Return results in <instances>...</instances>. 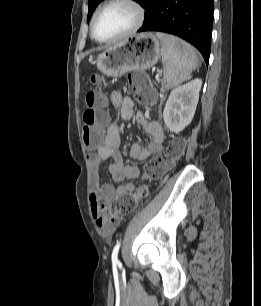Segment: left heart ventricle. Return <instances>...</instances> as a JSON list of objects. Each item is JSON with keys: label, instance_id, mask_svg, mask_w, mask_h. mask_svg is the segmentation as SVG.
<instances>
[{"label": "left heart ventricle", "instance_id": "b2bd125f", "mask_svg": "<svg viewBox=\"0 0 261 306\" xmlns=\"http://www.w3.org/2000/svg\"><path fill=\"white\" fill-rule=\"evenodd\" d=\"M136 20L134 9L126 4H113L107 7L98 17L96 35L108 39L128 31Z\"/></svg>", "mask_w": 261, "mask_h": 306}]
</instances>
